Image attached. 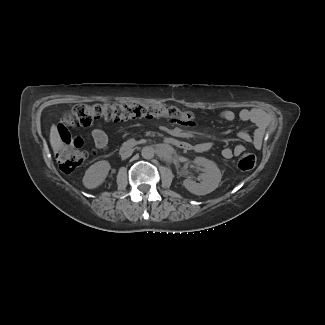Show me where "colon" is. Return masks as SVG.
Wrapping results in <instances>:
<instances>
[{
	"instance_id": "1",
	"label": "colon",
	"mask_w": 325,
	"mask_h": 325,
	"mask_svg": "<svg viewBox=\"0 0 325 325\" xmlns=\"http://www.w3.org/2000/svg\"><path fill=\"white\" fill-rule=\"evenodd\" d=\"M104 118L108 121H126L140 118H168L183 125L190 124L191 113L181 111L175 106L162 103H96L78 104L66 115L67 121L75 126L87 127L95 119ZM88 157V153L75 147L63 146L56 153L60 169L64 173H71L80 167ZM256 165V156L245 152L238 159V168L243 171L251 170Z\"/></svg>"
}]
</instances>
